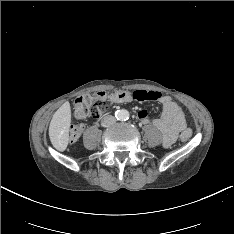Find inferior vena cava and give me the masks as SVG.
<instances>
[{
	"label": "inferior vena cava",
	"mask_w": 234,
	"mask_h": 234,
	"mask_svg": "<svg viewBox=\"0 0 234 234\" xmlns=\"http://www.w3.org/2000/svg\"><path fill=\"white\" fill-rule=\"evenodd\" d=\"M115 122H116V119L114 116L107 115V116L103 117V119L101 120V125L103 127H109V126L113 125Z\"/></svg>",
	"instance_id": "inferior-vena-cava-1"
}]
</instances>
